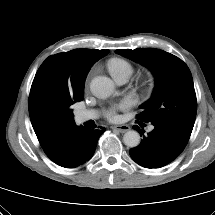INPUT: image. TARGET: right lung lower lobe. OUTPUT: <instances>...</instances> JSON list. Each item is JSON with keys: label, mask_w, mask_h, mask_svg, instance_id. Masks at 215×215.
Returning a JSON list of instances; mask_svg holds the SVG:
<instances>
[{"label": "right lung lower lobe", "mask_w": 215, "mask_h": 215, "mask_svg": "<svg viewBox=\"0 0 215 215\" xmlns=\"http://www.w3.org/2000/svg\"><path fill=\"white\" fill-rule=\"evenodd\" d=\"M105 128L91 130L80 126L73 129L62 142L57 153L49 157L57 165L74 168L90 160L95 152L97 141Z\"/></svg>", "instance_id": "1"}]
</instances>
